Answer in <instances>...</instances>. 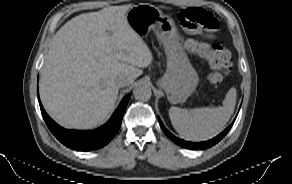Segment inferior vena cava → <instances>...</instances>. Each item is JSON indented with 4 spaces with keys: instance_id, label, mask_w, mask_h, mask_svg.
<instances>
[{
    "instance_id": "obj_1",
    "label": "inferior vena cava",
    "mask_w": 292,
    "mask_h": 184,
    "mask_svg": "<svg viewBox=\"0 0 292 184\" xmlns=\"http://www.w3.org/2000/svg\"><path fill=\"white\" fill-rule=\"evenodd\" d=\"M130 83V81L126 78H119L116 82L118 87H125Z\"/></svg>"
}]
</instances>
